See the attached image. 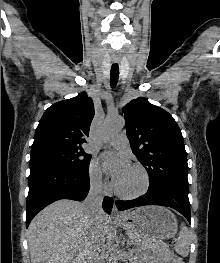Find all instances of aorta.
I'll use <instances>...</instances> for the list:
<instances>
[{
	"label": "aorta",
	"instance_id": "aorta-1",
	"mask_svg": "<svg viewBox=\"0 0 220 263\" xmlns=\"http://www.w3.org/2000/svg\"><path fill=\"white\" fill-rule=\"evenodd\" d=\"M125 126L124 118L122 117H109L103 125L104 135H111L123 129ZM112 263H118L117 245L112 244L110 247Z\"/></svg>",
	"mask_w": 220,
	"mask_h": 263
}]
</instances>
